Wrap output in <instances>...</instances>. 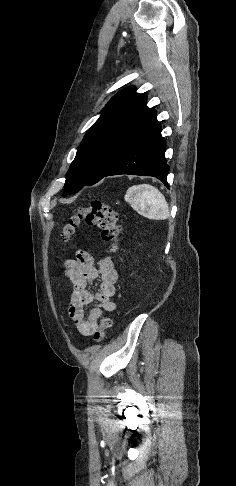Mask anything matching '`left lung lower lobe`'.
<instances>
[{"label": "left lung lower lobe", "instance_id": "left-lung-lower-lobe-1", "mask_svg": "<svg viewBox=\"0 0 236 486\" xmlns=\"http://www.w3.org/2000/svg\"><path fill=\"white\" fill-rule=\"evenodd\" d=\"M165 147L166 142L161 136V124L156 121L133 141L105 176L119 174L152 176L168 187L169 166L165 159Z\"/></svg>", "mask_w": 236, "mask_h": 486}]
</instances>
